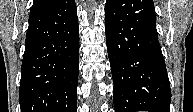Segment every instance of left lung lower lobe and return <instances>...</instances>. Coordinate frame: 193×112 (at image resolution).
<instances>
[{"label": "left lung lower lobe", "mask_w": 193, "mask_h": 112, "mask_svg": "<svg viewBox=\"0 0 193 112\" xmlns=\"http://www.w3.org/2000/svg\"><path fill=\"white\" fill-rule=\"evenodd\" d=\"M105 30L115 112H170L153 0H107Z\"/></svg>", "instance_id": "obj_1"}]
</instances>
